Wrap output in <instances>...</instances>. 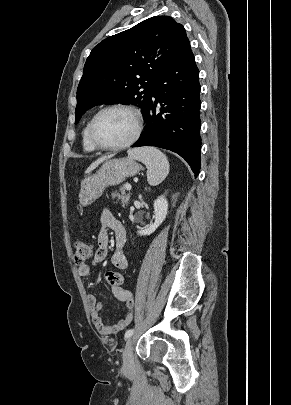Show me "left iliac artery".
<instances>
[{
  "label": "left iliac artery",
  "instance_id": "obj_1",
  "mask_svg": "<svg viewBox=\"0 0 291 405\" xmlns=\"http://www.w3.org/2000/svg\"><path fill=\"white\" fill-rule=\"evenodd\" d=\"M133 333H134V329L127 330L126 333H125V336H124L125 339L130 338L133 335Z\"/></svg>",
  "mask_w": 291,
  "mask_h": 405
}]
</instances>
